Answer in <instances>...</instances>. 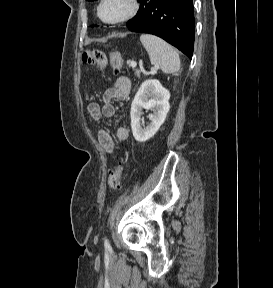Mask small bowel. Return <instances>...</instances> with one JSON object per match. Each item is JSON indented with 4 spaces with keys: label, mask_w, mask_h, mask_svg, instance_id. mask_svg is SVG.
I'll return each instance as SVG.
<instances>
[{
    "label": "small bowel",
    "mask_w": 273,
    "mask_h": 288,
    "mask_svg": "<svg viewBox=\"0 0 273 288\" xmlns=\"http://www.w3.org/2000/svg\"><path fill=\"white\" fill-rule=\"evenodd\" d=\"M131 83L127 77H119L111 86L104 92L102 103L91 102L88 105V113L95 120L100 121L103 117L110 118L114 116L116 108L114 100L125 99L130 92ZM129 132L125 125H120L116 131L117 140L120 142L126 141ZM98 142L100 146L108 153L114 151V142L110 133L105 129H100L98 132Z\"/></svg>",
    "instance_id": "c3829d8e"
}]
</instances>
